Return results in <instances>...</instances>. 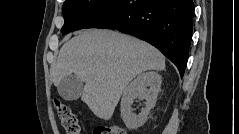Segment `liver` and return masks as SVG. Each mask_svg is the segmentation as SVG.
I'll return each instance as SVG.
<instances>
[{"mask_svg":"<svg viewBox=\"0 0 239 134\" xmlns=\"http://www.w3.org/2000/svg\"><path fill=\"white\" fill-rule=\"evenodd\" d=\"M147 70H165L164 56L150 44L112 30L80 32L60 49L52 81L75 74L85 86L81 100L99 118L111 119L129 82Z\"/></svg>","mask_w":239,"mask_h":134,"instance_id":"1","label":"liver"}]
</instances>
